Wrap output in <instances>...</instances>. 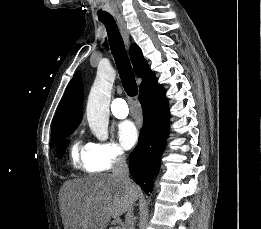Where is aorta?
I'll return each instance as SVG.
<instances>
[{
    "instance_id": "1",
    "label": "aorta",
    "mask_w": 261,
    "mask_h": 229,
    "mask_svg": "<svg viewBox=\"0 0 261 229\" xmlns=\"http://www.w3.org/2000/svg\"><path fill=\"white\" fill-rule=\"evenodd\" d=\"M116 70L112 66H98L95 82L86 106L88 125L93 133H106L109 125L110 96Z\"/></svg>"
}]
</instances>
